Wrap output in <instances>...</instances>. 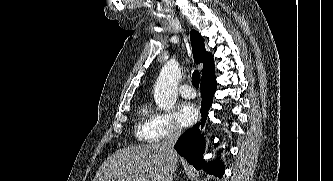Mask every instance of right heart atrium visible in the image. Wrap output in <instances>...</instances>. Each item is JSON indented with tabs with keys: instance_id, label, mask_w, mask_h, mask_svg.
Listing matches in <instances>:
<instances>
[{
	"instance_id": "1",
	"label": "right heart atrium",
	"mask_w": 333,
	"mask_h": 181,
	"mask_svg": "<svg viewBox=\"0 0 333 181\" xmlns=\"http://www.w3.org/2000/svg\"><path fill=\"white\" fill-rule=\"evenodd\" d=\"M152 133L155 141L176 137L181 133V127L169 112L155 114L152 121Z\"/></svg>"
}]
</instances>
